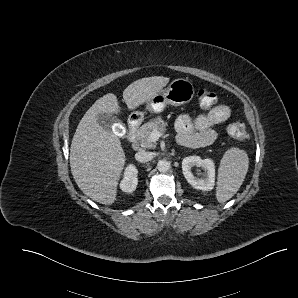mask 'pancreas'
<instances>
[{"mask_svg":"<svg viewBox=\"0 0 298 298\" xmlns=\"http://www.w3.org/2000/svg\"><path fill=\"white\" fill-rule=\"evenodd\" d=\"M168 123L165 122L162 116H157L154 119H151L149 122L143 124L137 131H136V139L141 143L144 148L147 149H155L156 143L151 142L149 140V134L153 129H157L160 132H164Z\"/></svg>","mask_w":298,"mask_h":298,"instance_id":"cf45deb5","label":"pancreas"}]
</instances>
